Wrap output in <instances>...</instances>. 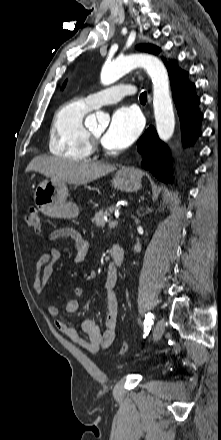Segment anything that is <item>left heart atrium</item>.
Wrapping results in <instances>:
<instances>
[{
	"mask_svg": "<svg viewBox=\"0 0 221 440\" xmlns=\"http://www.w3.org/2000/svg\"><path fill=\"white\" fill-rule=\"evenodd\" d=\"M142 126V117L136 109L121 107L113 113L102 142L110 149L126 148L138 137Z\"/></svg>",
	"mask_w": 221,
	"mask_h": 440,
	"instance_id": "left-heart-atrium-1",
	"label": "left heart atrium"
}]
</instances>
